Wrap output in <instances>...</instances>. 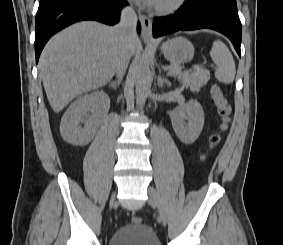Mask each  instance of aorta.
I'll return each mask as SVG.
<instances>
[{"mask_svg": "<svg viewBox=\"0 0 283 245\" xmlns=\"http://www.w3.org/2000/svg\"><path fill=\"white\" fill-rule=\"evenodd\" d=\"M152 73L148 57H143L136 76V101L142 107L150 92Z\"/></svg>", "mask_w": 283, "mask_h": 245, "instance_id": "1", "label": "aorta"}]
</instances>
